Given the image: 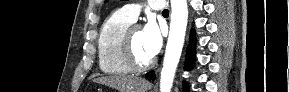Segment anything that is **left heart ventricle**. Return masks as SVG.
Masks as SVG:
<instances>
[{"mask_svg": "<svg viewBox=\"0 0 289 92\" xmlns=\"http://www.w3.org/2000/svg\"><path fill=\"white\" fill-rule=\"evenodd\" d=\"M132 41L134 53L140 62H147L152 59L145 48L143 30L141 28L135 29L133 32Z\"/></svg>", "mask_w": 289, "mask_h": 92, "instance_id": "b2bd125f", "label": "left heart ventricle"}]
</instances>
